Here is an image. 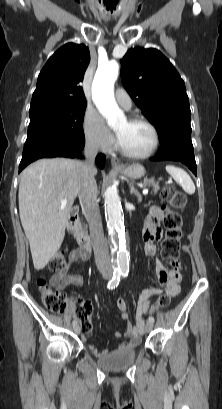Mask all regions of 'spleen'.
Returning a JSON list of instances; mask_svg holds the SVG:
<instances>
[{
    "instance_id": "3e777b00",
    "label": "spleen",
    "mask_w": 222,
    "mask_h": 409,
    "mask_svg": "<svg viewBox=\"0 0 222 409\" xmlns=\"http://www.w3.org/2000/svg\"><path fill=\"white\" fill-rule=\"evenodd\" d=\"M166 171L182 186L186 193L194 194L195 185L190 176L183 169L172 165H167Z\"/></svg>"
}]
</instances>
